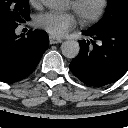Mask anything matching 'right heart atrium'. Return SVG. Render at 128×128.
Wrapping results in <instances>:
<instances>
[{
  "instance_id": "right-heart-atrium-1",
  "label": "right heart atrium",
  "mask_w": 128,
  "mask_h": 128,
  "mask_svg": "<svg viewBox=\"0 0 128 128\" xmlns=\"http://www.w3.org/2000/svg\"><path fill=\"white\" fill-rule=\"evenodd\" d=\"M28 2L33 7H38L41 4V0H28Z\"/></svg>"
}]
</instances>
